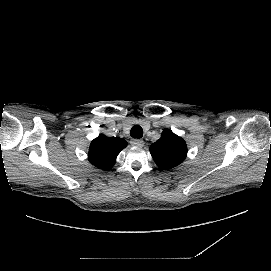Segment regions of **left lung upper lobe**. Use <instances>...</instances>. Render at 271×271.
I'll return each instance as SVG.
<instances>
[{"label": "left lung upper lobe", "instance_id": "1", "mask_svg": "<svg viewBox=\"0 0 271 271\" xmlns=\"http://www.w3.org/2000/svg\"><path fill=\"white\" fill-rule=\"evenodd\" d=\"M150 152L157 166L162 170H168L184 161L187 146L181 137L165 129L161 138L150 146Z\"/></svg>", "mask_w": 271, "mask_h": 271}]
</instances>
